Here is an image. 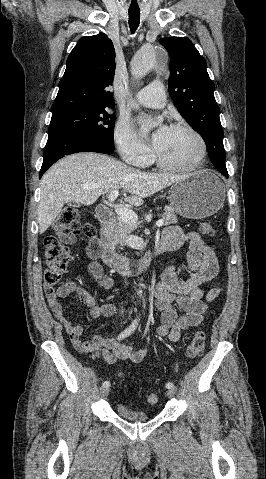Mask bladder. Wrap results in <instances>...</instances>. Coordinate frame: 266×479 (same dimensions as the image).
Listing matches in <instances>:
<instances>
[{"instance_id":"obj_1","label":"bladder","mask_w":266,"mask_h":479,"mask_svg":"<svg viewBox=\"0 0 266 479\" xmlns=\"http://www.w3.org/2000/svg\"><path fill=\"white\" fill-rule=\"evenodd\" d=\"M117 411L120 417L129 421H146L150 419V415L143 411L133 410L125 403L117 404Z\"/></svg>"}]
</instances>
